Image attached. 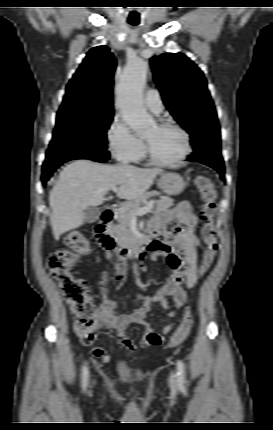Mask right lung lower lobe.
Returning a JSON list of instances; mask_svg holds the SVG:
<instances>
[{
    "mask_svg": "<svg viewBox=\"0 0 273 430\" xmlns=\"http://www.w3.org/2000/svg\"><path fill=\"white\" fill-rule=\"evenodd\" d=\"M78 159H89V160H93V161H96V162H106L109 159V152L104 153V154L85 156V157L78 158ZM64 162H67V161H62V162H59V163H57L55 165H52V166L43 167V173H42V182H43V184L46 183V181L50 178V176L53 174V172L60 165H62Z\"/></svg>",
    "mask_w": 273,
    "mask_h": 430,
    "instance_id": "right-lung-lower-lobe-1",
    "label": "right lung lower lobe"
}]
</instances>
